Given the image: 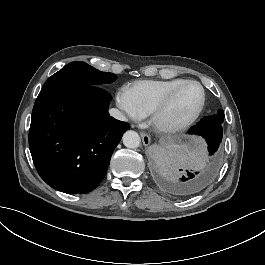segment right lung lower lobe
<instances>
[{
    "instance_id": "obj_1",
    "label": "right lung lower lobe",
    "mask_w": 265,
    "mask_h": 265,
    "mask_svg": "<svg viewBox=\"0 0 265 265\" xmlns=\"http://www.w3.org/2000/svg\"><path fill=\"white\" fill-rule=\"evenodd\" d=\"M98 86L42 89L32 111L29 148L41 178L65 193H87L104 178L129 125L110 117Z\"/></svg>"
}]
</instances>
